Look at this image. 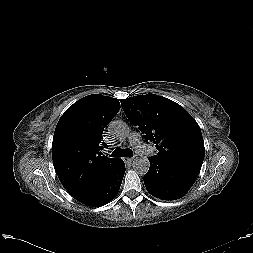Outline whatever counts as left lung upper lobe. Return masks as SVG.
I'll list each match as a JSON object with an SVG mask.
<instances>
[{
  "instance_id": "obj_1",
  "label": "left lung upper lobe",
  "mask_w": 253,
  "mask_h": 253,
  "mask_svg": "<svg viewBox=\"0 0 253 253\" xmlns=\"http://www.w3.org/2000/svg\"><path fill=\"white\" fill-rule=\"evenodd\" d=\"M127 118L153 142L159 158H187L203 162L202 133L197 122L176 102L155 94L122 99Z\"/></svg>"
}]
</instances>
